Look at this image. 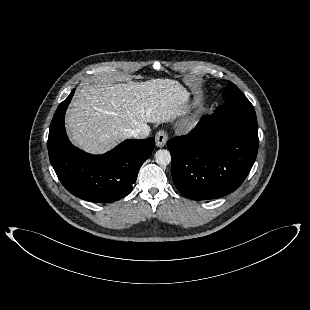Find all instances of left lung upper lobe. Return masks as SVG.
<instances>
[{"mask_svg":"<svg viewBox=\"0 0 310 310\" xmlns=\"http://www.w3.org/2000/svg\"><path fill=\"white\" fill-rule=\"evenodd\" d=\"M222 95L225 101H238L246 98L239 88L231 81L228 82Z\"/></svg>","mask_w":310,"mask_h":310,"instance_id":"1","label":"left lung upper lobe"}]
</instances>
